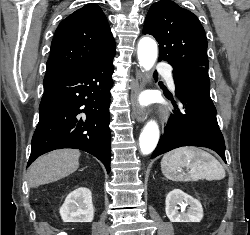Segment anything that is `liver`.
I'll return each instance as SVG.
<instances>
[{
  "mask_svg": "<svg viewBox=\"0 0 250 235\" xmlns=\"http://www.w3.org/2000/svg\"><path fill=\"white\" fill-rule=\"evenodd\" d=\"M80 152L61 149L39 157L29 169V184L38 187L64 178L79 167Z\"/></svg>",
  "mask_w": 250,
  "mask_h": 235,
  "instance_id": "obj_1",
  "label": "liver"
}]
</instances>
